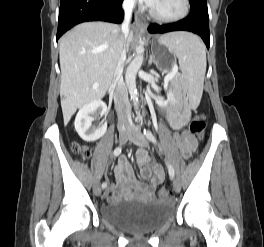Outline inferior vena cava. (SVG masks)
Returning <instances> with one entry per match:
<instances>
[{
    "label": "inferior vena cava",
    "instance_id": "inferior-vena-cava-1",
    "mask_svg": "<svg viewBox=\"0 0 264 247\" xmlns=\"http://www.w3.org/2000/svg\"><path fill=\"white\" fill-rule=\"evenodd\" d=\"M135 0H124V21L121 25V30L124 35L129 32L130 21L134 9ZM126 59V45L124 39L119 43V57L114 70L113 83L114 90V103L118 116V126L128 124L131 122V107L128 100L127 86L122 77L123 64Z\"/></svg>",
    "mask_w": 264,
    "mask_h": 247
}]
</instances>
